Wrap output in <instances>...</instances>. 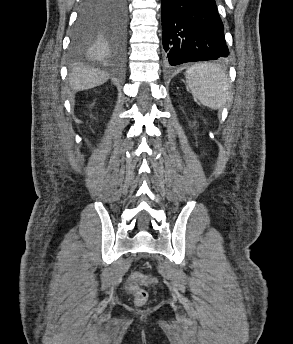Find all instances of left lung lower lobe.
I'll return each mask as SVG.
<instances>
[{
	"instance_id": "0a47b994",
	"label": "left lung lower lobe",
	"mask_w": 293,
	"mask_h": 344,
	"mask_svg": "<svg viewBox=\"0 0 293 344\" xmlns=\"http://www.w3.org/2000/svg\"><path fill=\"white\" fill-rule=\"evenodd\" d=\"M161 17L171 66L229 55L215 0H162Z\"/></svg>"
}]
</instances>
